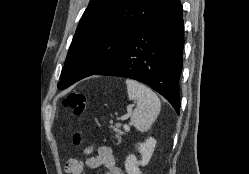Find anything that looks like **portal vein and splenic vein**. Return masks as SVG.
<instances>
[{
	"instance_id": "portal-vein-and-splenic-vein-1",
	"label": "portal vein and splenic vein",
	"mask_w": 249,
	"mask_h": 174,
	"mask_svg": "<svg viewBox=\"0 0 249 174\" xmlns=\"http://www.w3.org/2000/svg\"><path fill=\"white\" fill-rule=\"evenodd\" d=\"M128 117H129V115L122 116L121 120H126V119H128ZM124 130L129 131L130 127L128 125H124Z\"/></svg>"
}]
</instances>
